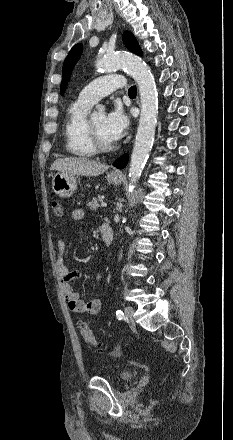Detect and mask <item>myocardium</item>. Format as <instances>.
I'll return each instance as SVG.
<instances>
[{"label": "myocardium", "mask_w": 233, "mask_h": 440, "mask_svg": "<svg viewBox=\"0 0 233 440\" xmlns=\"http://www.w3.org/2000/svg\"><path fill=\"white\" fill-rule=\"evenodd\" d=\"M87 132L90 138V141L97 152H109L114 150L117 147L115 141L107 142L103 140L95 129L92 119H87Z\"/></svg>", "instance_id": "f54148a6"}]
</instances>
